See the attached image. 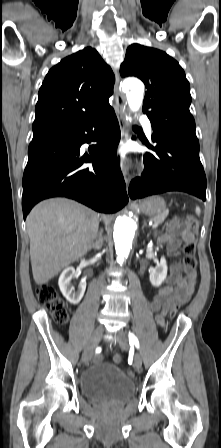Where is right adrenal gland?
<instances>
[{"mask_svg":"<svg viewBox=\"0 0 221 448\" xmlns=\"http://www.w3.org/2000/svg\"><path fill=\"white\" fill-rule=\"evenodd\" d=\"M101 245H102V234L99 233L97 241L92 244V246L90 247V250H92V249L98 250V249H100Z\"/></svg>","mask_w":221,"mask_h":448,"instance_id":"1","label":"right adrenal gland"}]
</instances>
